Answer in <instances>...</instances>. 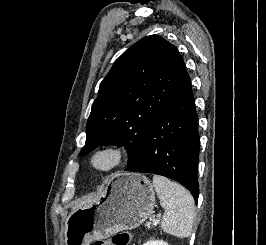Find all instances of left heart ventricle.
<instances>
[{
	"label": "left heart ventricle",
	"instance_id": "1",
	"mask_svg": "<svg viewBox=\"0 0 266 245\" xmlns=\"http://www.w3.org/2000/svg\"><path fill=\"white\" fill-rule=\"evenodd\" d=\"M112 161V157L111 155L109 154H104L102 156H100L98 159H97V164L99 166H108Z\"/></svg>",
	"mask_w": 266,
	"mask_h": 245
}]
</instances>
